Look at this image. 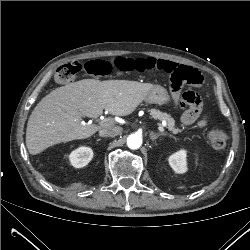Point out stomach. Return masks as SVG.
<instances>
[{"label":"stomach","instance_id":"stomach-1","mask_svg":"<svg viewBox=\"0 0 250 250\" xmlns=\"http://www.w3.org/2000/svg\"><path fill=\"white\" fill-rule=\"evenodd\" d=\"M144 101L147 103L163 105L170 103L171 99L165 88L161 86H155L149 91Z\"/></svg>","mask_w":250,"mask_h":250}]
</instances>
